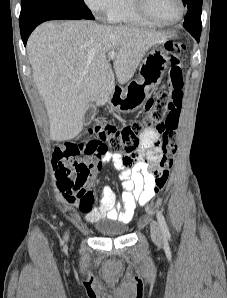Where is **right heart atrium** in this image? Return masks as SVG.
<instances>
[{
    "mask_svg": "<svg viewBox=\"0 0 227 298\" xmlns=\"http://www.w3.org/2000/svg\"><path fill=\"white\" fill-rule=\"evenodd\" d=\"M86 6L97 15L108 14L117 0H83Z\"/></svg>",
    "mask_w": 227,
    "mask_h": 298,
    "instance_id": "1",
    "label": "right heart atrium"
}]
</instances>
